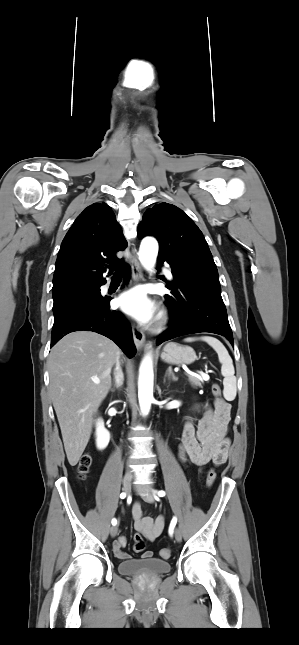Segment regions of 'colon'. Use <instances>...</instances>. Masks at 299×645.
Wrapping results in <instances>:
<instances>
[{
	"label": "colon",
	"mask_w": 299,
	"mask_h": 645,
	"mask_svg": "<svg viewBox=\"0 0 299 645\" xmlns=\"http://www.w3.org/2000/svg\"><path fill=\"white\" fill-rule=\"evenodd\" d=\"M211 390H212L213 395L217 399L223 400L222 396H221V388H220V386L218 384H216V383L213 384ZM91 466H92V457L89 454H84L81 457V459L79 461V464H78V472L80 474V477H82V478L86 477V475L89 473V471L91 469ZM215 479H216V473H215L214 469H210L208 471V473H207V478H206L207 486L211 487L214 484ZM134 541H135V543H134V551L137 552V553L143 552L145 550V543H144V540H143L142 536L136 534L134 536ZM160 555L163 558H169L171 556V551L168 548H163V549L160 550Z\"/></svg>",
	"instance_id": "colon-1"
}]
</instances>
